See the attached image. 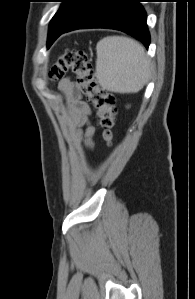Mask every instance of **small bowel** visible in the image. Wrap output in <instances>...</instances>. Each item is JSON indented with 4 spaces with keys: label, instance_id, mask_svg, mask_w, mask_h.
Here are the masks:
<instances>
[{
    "label": "small bowel",
    "instance_id": "obj_1",
    "mask_svg": "<svg viewBox=\"0 0 195 299\" xmlns=\"http://www.w3.org/2000/svg\"><path fill=\"white\" fill-rule=\"evenodd\" d=\"M60 89L69 97L73 131L76 136L84 139L88 147L92 148L94 128L89 123L90 109L87 103L81 99L80 86L71 79L65 78L60 82Z\"/></svg>",
    "mask_w": 195,
    "mask_h": 299
}]
</instances>
